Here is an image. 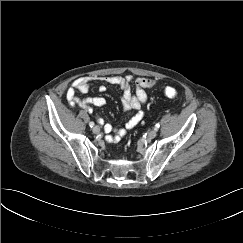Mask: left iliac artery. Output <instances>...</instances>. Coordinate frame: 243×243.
<instances>
[{
  "label": "left iliac artery",
  "instance_id": "left-iliac-artery-1",
  "mask_svg": "<svg viewBox=\"0 0 243 243\" xmlns=\"http://www.w3.org/2000/svg\"><path fill=\"white\" fill-rule=\"evenodd\" d=\"M159 127H160V124L159 123H156L154 129L157 131L159 129Z\"/></svg>",
  "mask_w": 243,
  "mask_h": 243
}]
</instances>
